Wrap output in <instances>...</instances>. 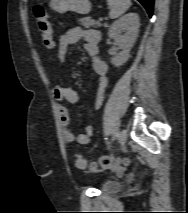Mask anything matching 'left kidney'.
<instances>
[{
	"instance_id": "obj_1",
	"label": "left kidney",
	"mask_w": 188,
	"mask_h": 213,
	"mask_svg": "<svg viewBox=\"0 0 188 213\" xmlns=\"http://www.w3.org/2000/svg\"><path fill=\"white\" fill-rule=\"evenodd\" d=\"M139 26L137 13H128L111 25L108 36L122 48L120 53L111 58V63L115 67L122 66L129 59L130 51L138 36ZM122 32L125 34H121Z\"/></svg>"
}]
</instances>
